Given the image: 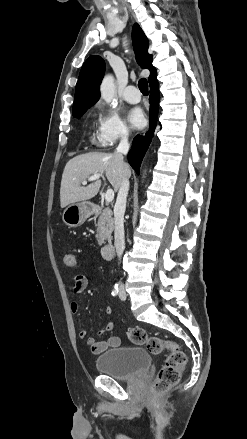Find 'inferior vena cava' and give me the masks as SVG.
Listing matches in <instances>:
<instances>
[{"label":"inferior vena cava","mask_w":247,"mask_h":439,"mask_svg":"<svg viewBox=\"0 0 247 439\" xmlns=\"http://www.w3.org/2000/svg\"><path fill=\"white\" fill-rule=\"evenodd\" d=\"M129 151V142L125 133L116 149V156L122 165H125L123 154ZM129 191V179L124 177L119 188L116 203L114 206V245L118 258L120 259L125 249L124 240V214L126 209V200ZM123 287V285H121Z\"/></svg>","instance_id":"obj_1"}]
</instances>
